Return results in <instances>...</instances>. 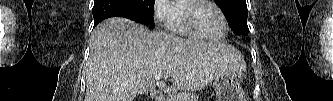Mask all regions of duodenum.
Instances as JSON below:
<instances>
[{"mask_svg":"<svg viewBox=\"0 0 333 101\" xmlns=\"http://www.w3.org/2000/svg\"><path fill=\"white\" fill-rule=\"evenodd\" d=\"M149 96L152 100L154 101H164V96L161 92L159 91H151L149 93Z\"/></svg>","mask_w":333,"mask_h":101,"instance_id":"duodenum-1","label":"duodenum"}]
</instances>
